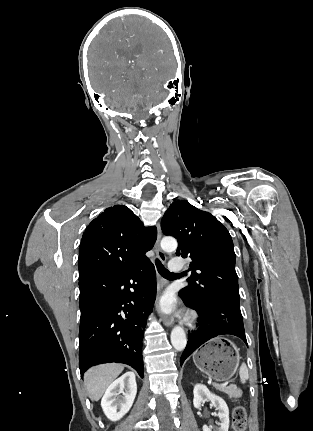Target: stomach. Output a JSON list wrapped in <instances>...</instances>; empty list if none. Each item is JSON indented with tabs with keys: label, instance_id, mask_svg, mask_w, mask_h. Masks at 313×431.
<instances>
[{
	"label": "stomach",
	"instance_id": "obj_1",
	"mask_svg": "<svg viewBox=\"0 0 313 431\" xmlns=\"http://www.w3.org/2000/svg\"><path fill=\"white\" fill-rule=\"evenodd\" d=\"M196 367L217 382L227 381L235 374L239 350L226 338H215L193 355Z\"/></svg>",
	"mask_w": 313,
	"mask_h": 431
}]
</instances>
